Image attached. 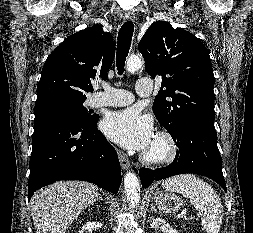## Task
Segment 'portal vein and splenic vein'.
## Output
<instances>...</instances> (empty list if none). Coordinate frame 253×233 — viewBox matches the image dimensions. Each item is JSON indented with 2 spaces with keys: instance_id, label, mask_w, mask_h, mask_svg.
Returning a JSON list of instances; mask_svg holds the SVG:
<instances>
[{
  "instance_id": "18ae733b",
  "label": "portal vein and splenic vein",
  "mask_w": 253,
  "mask_h": 233,
  "mask_svg": "<svg viewBox=\"0 0 253 233\" xmlns=\"http://www.w3.org/2000/svg\"><path fill=\"white\" fill-rule=\"evenodd\" d=\"M185 214H186V210H183V211L181 212L180 216H181V217H184ZM201 215H202L201 212H200V213H197V216H201Z\"/></svg>"
}]
</instances>
